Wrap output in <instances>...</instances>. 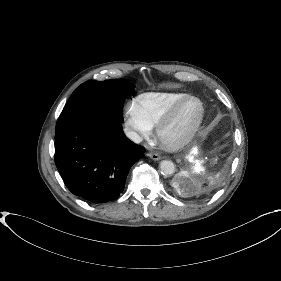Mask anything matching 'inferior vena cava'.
<instances>
[{"label":"inferior vena cava","instance_id":"1","mask_svg":"<svg viewBox=\"0 0 281 281\" xmlns=\"http://www.w3.org/2000/svg\"><path fill=\"white\" fill-rule=\"evenodd\" d=\"M124 133L130 140H132L135 143H140L142 141V138L140 137V135H138L136 132L130 130L129 128H125Z\"/></svg>","mask_w":281,"mask_h":281}]
</instances>
